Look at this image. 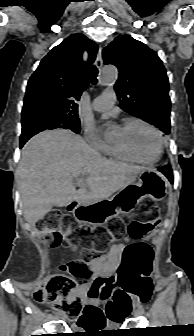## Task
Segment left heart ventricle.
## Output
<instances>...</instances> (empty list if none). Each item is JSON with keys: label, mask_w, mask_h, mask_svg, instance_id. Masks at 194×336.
Returning <instances> with one entry per match:
<instances>
[{"label": "left heart ventricle", "mask_w": 194, "mask_h": 336, "mask_svg": "<svg viewBox=\"0 0 194 336\" xmlns=\"http://www.w3.org/2000/svg\"><path fill=\"white\" fill-rule=\"evenodd\" d=\"M114 142L125 144L133 153L145 160L154 159L158 152V141L155 134L141 124L119 128Z\"/></svg>", "instance_id": "obj_1"}]
</instances>
